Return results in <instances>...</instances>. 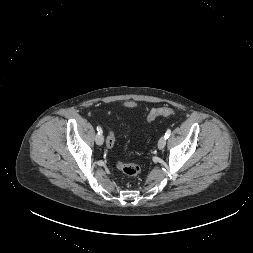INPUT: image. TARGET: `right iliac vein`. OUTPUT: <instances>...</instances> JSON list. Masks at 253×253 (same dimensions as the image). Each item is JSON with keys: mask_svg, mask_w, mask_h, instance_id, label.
<instances>
[{"mask_svg": "<svg viewBox=\"0 0 253 253\" xmlns=\"http://www.w3.org/2000/svg\"><path fill=\"white\" fill-rule=\"evenodd\" d=\"M95 141H96V144H97V145H100V146H101V145L103 144V142H104L103 135H102V134L96 135Z\"/></svg>", "mask_w": 253, "mask_h": 253, "instance_id": "obj_1", "label": "right iliac vein"}]
</instances>
